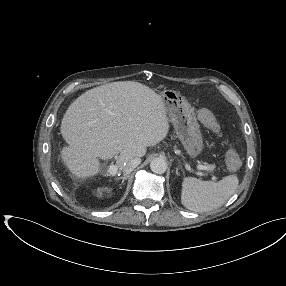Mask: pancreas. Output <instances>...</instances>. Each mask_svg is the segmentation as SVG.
I'll return each instance as SVG.
<instances>
[{"label":"pancreas","mask_w":286,"mask_h":286,"mask_svg":"<svg viewBox=\"0 0 286 286\" xmlns=\"http://www.w3.org/2000/svg\"><path fill=\"white\" fill-rule=\"evenodd\" d=\"M209 168L212 170V169L215 168V166L214 165H210Z\"/></svg>","instance_id":"obj_1"}]
</instances>
